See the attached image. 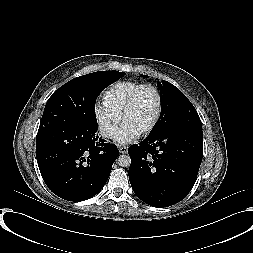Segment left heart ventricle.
I'll return each mask as SVG.
<instances>
[{
    "label": "left heart ventricle",
    "instance_id": "1",
    "mask_svg": "<svg viewBox=\"0 0 253 253\" xmlns=\"http://www.w3.org/2000/svg\"><path fill=\"white\" fill-rule=\"evenodd\" d=\"M157 110V96L152 90H145L133 108L124 117L123 123L141 132L152 122Z\"/></svg>",
    "mask_w": 253,
    "mask_h": 253
}]
</instances>
